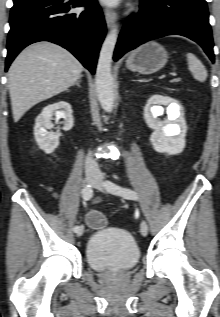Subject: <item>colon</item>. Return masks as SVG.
Returning <instances> with one entry per match:
<instances>
[{
    "label": "colon",
    "mask_w": 220,
    "mask_h": 317,
    "mask_svg": "<svg viewBox=\"0 0 220 317\" xmlns=\"http://www.w3.org/2000/svg\"><path fill=\"white\" fill-rule=\"evenodd\" d=\"M86 223L91 229L97 230L106 226L107 219L102 213L92 211L87 215Z\"/></svg>",
    "instance_id": "obj_1"
}]
</instances>
